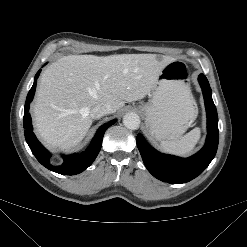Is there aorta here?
<instances>
[{"label": "aorta", "instance_id": "1", "mask_svg": "<svg viewBox=\"0 0 247 247\" xmlns=\"http://www.w3.org/2000/svg\"><path fill=\"white\" fill-rule=\"evenodd\" d=\"M123 124L130 130H136L140 126V117L136 113H127L123 118Z\"/></svg>", "mask_w": 247, "mask_h": 247}]
</instances>
